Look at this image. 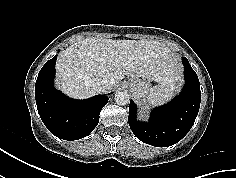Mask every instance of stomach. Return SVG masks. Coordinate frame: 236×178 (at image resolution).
<instances>
[{
	"label": "stomach",
	"instance_id": "0dacf381",
	"mask_svg": "<svg viewBox=\"0 0 236 178\" xmlns=\"http://www.w3.org/2000/svg\"><path fill=\"white\" fill-rule=\"evenodd\" d=\"M128 87L132 95L138 100H145L150 93V81L149 80H140L138 78L131 79L128 83Z\"/></svg>",
	"mask_w": 236,
	"mask_h": 178
}]
</instances>
